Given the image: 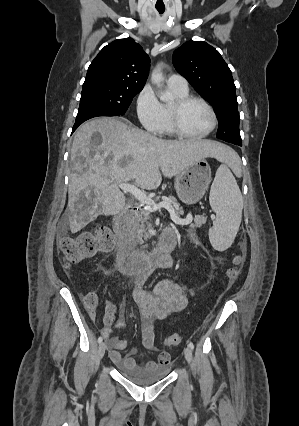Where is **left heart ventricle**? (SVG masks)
<instances>
[{"instance_id": "obj_1", "label": "left heart ventricle", "mask_w": 299, "mask_h": 426, "mask_svg": "<svg viewBox=\"0 0 299 426\" xmlns=\"http://www.w3.org/2000/svg\"><path fill=\"white\" fill-rule=\"evenodd\" d=\"M181 123L187 132L201 134L210 128L212 119L208 109L203 104L192 102L184 108Z\"/></svg>"}]
</instances>
